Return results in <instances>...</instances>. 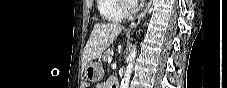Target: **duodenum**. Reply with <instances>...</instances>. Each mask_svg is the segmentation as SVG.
Returning <instances> with one entry per match:
<instances>
[{
    "label": "duodenum",
    "mask_w": 227,
    "mask_h": 88,
    "mask_svg": "<svg viewBox=\"0 0 227 88\" xmlns=\"http://www.w3.org/2000/svg\"><path fill=\"white\" fill-rule=\"evenodd\" d=\"M118 81L116 79H112L111 80V87L112 88H117L118 87Z\"/></svg>",
    "instance_id": "1"
}]
</instances>
